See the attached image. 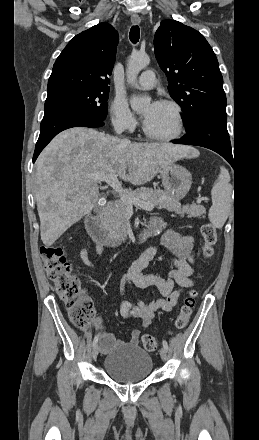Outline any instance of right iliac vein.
<instances>
[{
    "label": "right iliac vein",
    "mask_w": 259,
    "mask_h": 440,
    "mask_svg": "<svg viewBox=\"0 0 259 440\" xmlns=\"http://www.w3.org/2000/svg\"><path fill=\"white\" fill-rule=\"evenodd\" d=\"M98 353H99V346L95 345L92 350V357L94 360L97 358Z\"/></svg>",
    "instance_id": "63e3f726"
}]
</instances>
